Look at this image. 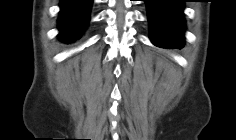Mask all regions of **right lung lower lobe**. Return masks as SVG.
Masks as SVG:
<instances>
[{
    "mask_svg": "<svg viewBox=\"0 0 236 140\" xmlns=\"http://www.w3.org/2000/svg\"><path fill=\"white\" fill-rule=\"evenodd\" d=\"M92 0H61L58 27L59 37L68 43L78 39L86 29Z\"/></svg>",
    "mask_w": 236,
    "mask_h": 140,
    "instance_id": "1",
    "label": "right lung lower lobe"
}]
</instances>
